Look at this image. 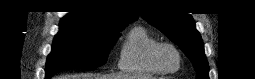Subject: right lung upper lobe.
<instances>
[{
	"label": "right lung upper lobe",
	"mask_w": 255,
	"mask_h": 79,
	"mask_svg": "<svg viewBox=\"0 0 255 79\" xmlns=\"http://www.w3.org/2000/svg\"><path fill=\"white\" fill-rule=\"evenodd\" d=\"M137 12L110 11L98 3H80L60 22V28H70L103 33L117 32L137 19Z\"/></svg>",
	"instance_id": "1"
}]
</instances>
